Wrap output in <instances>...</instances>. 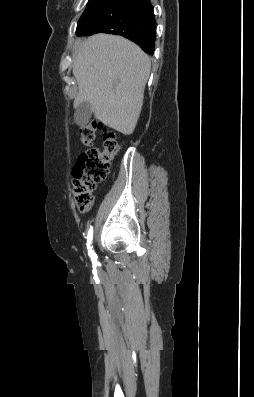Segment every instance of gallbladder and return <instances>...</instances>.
I'll return each instance as SVG.
<instances>
[{
  "mask_svg": "<svg viewBox=\"0 0 254 397\" xmlns=\"http://www.w3.org/2000/svg\"><path fill=\"white\" fill-rule=\"evenodd\" d=\"M92 115V108L89 102H81L78 107L76 108L74 114L75 123L78 126H85Z\"/></svg>",
  "mask_w": 254,
  "mask_h": 397,
  "instance_id": "1",
  "label": "gallbladder"
}]
</instances>
